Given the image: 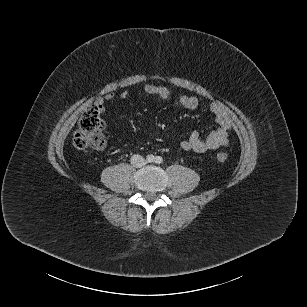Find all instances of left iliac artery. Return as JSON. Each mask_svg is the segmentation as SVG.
<instances>
[{"instance_id":"1","label":"left iliac artery","mask_w":307,"mask_h":307,"mask_svg":"<svg viewBox=\"0 0 307 307\" xmlns=\"http://www.w3.org/2000/svg\"><path fill=\"white\" fill-rule=\"evenodd\" d=\"M162 161H163V159H162L161 156H157V157L155 158V163H157V164L162 163Z\"/></svg>"}]
</instances>
